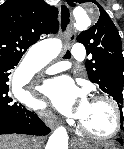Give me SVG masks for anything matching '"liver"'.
I'll use <instances>...</instances> for the list:
<instances>
[{
    "label": "liver",
    "instance_id": "obj_1",
    "mask_svg": "<svg viewBox=\"0 0 124 149\" xmlns=\"http://www.w3.org/2000/svg\"><path fill=\"white\" fill-rule=\"evenodd\" d=\"M32 139L21 135L0 136V149H30L34 146Z\"/></svg>",
    "mask_w": 124,
    "mask_h": 149
}]
</instances>
